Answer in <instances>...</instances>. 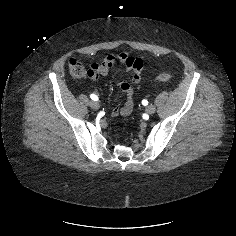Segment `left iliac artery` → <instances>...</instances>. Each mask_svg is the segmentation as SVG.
<instances>
[{"mask_svg": "<svg viewBox=\"0 0 236 236\" xmlns=\"http://www.w3.org/2000/svg\"><path fill=\"white\" fill-rule=\"evenodd\" d=\"M142 104H143V105H147V104H148V101H147V100H143V101H142Z\"/></svg>", "mask_w": 236, "mask_h": 236, "instance_id": "44dca946", "label": "left iliac artery"}]
</instances>
